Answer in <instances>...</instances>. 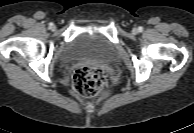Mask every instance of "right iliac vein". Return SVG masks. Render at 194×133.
<instances>
[{
  "mask_svg": "<svg viewBox=\"0 0 194 133\" xmlns=\"http://www.w3.org/2000/svg\"><path fill=\"white\" fill-rule=\"evenodd\" d=\"M51 29H52L53 31L56 30V26L53 25V26L51 27Z\"/></svg>",
  "mask_w": 194,
  "mask_h": 133,
  "instance_id": "1",
  "label": "right iliac vein"
}]
</instances>
